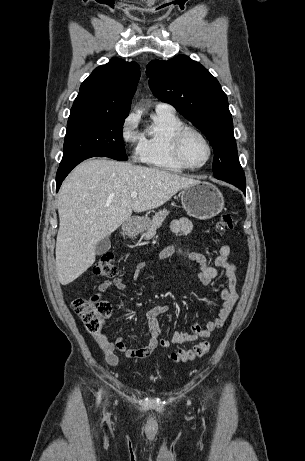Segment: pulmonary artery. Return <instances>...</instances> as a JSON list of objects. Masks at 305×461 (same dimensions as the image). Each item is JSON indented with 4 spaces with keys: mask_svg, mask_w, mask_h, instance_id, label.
Here are the masks:
<instances>
[{
    "mask_svg": "<svg viewBox=\"0 0 305 461\" xmlns=\"http://www.w3.org/2000/svg\"><path fill=\"white\" fill-rule=\"evenodd\" d=\"M156 110L157 111H168V112H174V109L171 105L164 103V102H159L156 104Z\"/></svg>",
    "mask_w": 305,
    "mask_h": 461,
    "instance_id": "1",
    "label": "pulmonary artery"
}]
</instances>
